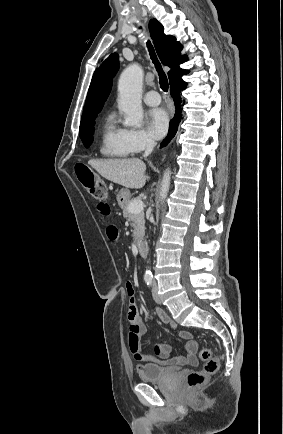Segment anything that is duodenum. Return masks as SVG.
<instances>
[{
  "label": "duodenum",
  "mask_w": 283,
  "mask_h": 434,
  "mask_svg": "<svg viewBox=\"0 0 283 434\" xmlns=\"http://www.w3.org/2000/svg\"><path fill=\"white\" fill-rule=\"evenodd\" d=\"M137 249H138L139 254L142 257H145L147 255V245H146L145 241L139 240L137 242Z\"/></svg>",
  "instance_id": "410a0bca"
}]
</instances>
